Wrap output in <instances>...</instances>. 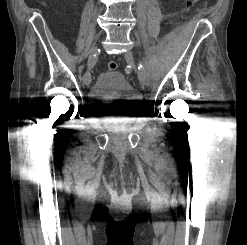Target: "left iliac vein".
<instances>
[{
  "instance_id": "4c4485c4",
  "label": "left iliac vein",
  "mask_w": 247,
  "mask_h": 245,
  "mask_svg": "<svg viewBox=\"0 0 247 245\" xmlns=\"http://www.w3.org/2000/svg\"><path fill=\"white\" fill-rule=\"evenodd\" d=\"M125 59L127 60V62L129 63V65H130L133 69H135L136 71H138V70H137V64H136L135 59H134V57H133V54H132L131 52L127 51V52L125 53ZM138 76H139L140 82H141L142 84H145V85H146V84L149 83V75H148V73L146 72V70H144L143 72H139V71H138Z\"/></svg>"
}]
</instances>
